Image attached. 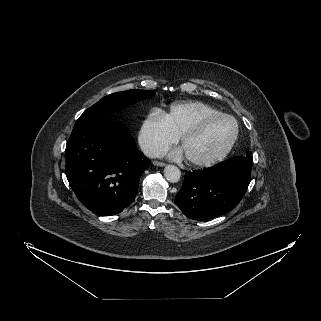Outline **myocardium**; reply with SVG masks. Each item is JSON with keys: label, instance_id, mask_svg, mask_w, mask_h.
Instances as JSON below:
<instances>
[{"label": "myocardium", "instance_id": "1", "mask_svg": "<svg viewBox=\"0 0 321 321\" xmlns=\"http://www.w3.org/2000/svg\"><path fill=\"white\" fill-rule=\"evenodd\" d=\"M217 119H228L233 122L234 132H233L232 137L230 138L228 143L225 145V147L215 157H213L211 159L199 160V159H195V158L186 157L188 162L191 165L196 166V167L214 166V165L218 164L219 162H221L222 160H224L226 158V156L229 154V152L232 150V148L238 138L239 125H238L237 120L233 116L225 114V113L213 114V115H209V116H206V117L200 119L199 121H197L196 123H194L193 125L188 127L187 129H185L179 135V142L182 145L187 138L197 134L208 123H210L214 120H217Z\"/></svg>", "mask_w": 321, "mask_h": 321}]
</instances>
